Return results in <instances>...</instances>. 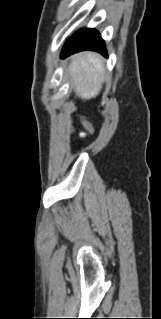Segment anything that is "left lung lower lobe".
I'll return each mask as SVG.
<instances>
[{"mask_svg":"<svg viewBox=\"0 0 161 319\" xmlns=\"http://www.w3.org/2000/svg\"><path fill=\"white\" fill-rule=\"evenodd\" d=\"M93 50L107 57L104 40L95 29H81L71 36L62 48L61 57H67L73 53Z\"/></svg>","mask_w":161,"mask_h":319,"instance_id":"obj_1","label":"left lung lower lobe"}]
</instances>
